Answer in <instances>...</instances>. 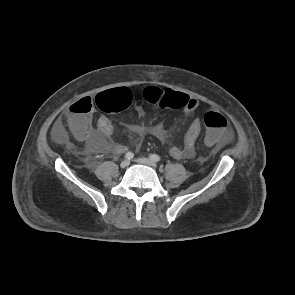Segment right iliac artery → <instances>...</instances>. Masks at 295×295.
I'll list each match as a JSON object with an SVG mask.
<instances>
[{"label":"right iliac artery","instance_id":"right-iliac-artery-1","mask_svg":"<svg viewBox=\"0 0 295 295\" xmlns=\"http://www.w3.org/2000/svg\"><path fill=\"white\" fill-rule=\"evenodd\" d=\"M133 157H134V154L132 152H127L125 155V158L127 160H131V159H133Z\"/></svg>","mask_w":295,"mask_h":295}]
</instances>
